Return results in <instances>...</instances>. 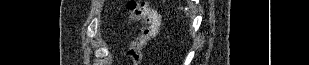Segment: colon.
<instances>
[{
	"instance_id": "colon-1",
	"label": "colon",
	"mask_w": 309,
	"mask_h": 65,
	"mask_svg": "<svg viewBox=\"0 0 309 65\" xmlns=\"http://www.w3.org/2000/svg\"><path fill=\"white\" fill-rule=\"evenodd\" d=\"M128 13L131 21L144 23L143 32L127 47L126 58L131 65H139L145 46L156 37L160 28V17L147 3L130 1Z\"/></svg>"
}]
</instances>
